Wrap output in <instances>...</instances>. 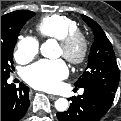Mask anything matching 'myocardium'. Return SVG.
I'll return each mask as SVG.
<instances>
[{"mask_svg": "<svg viewBox=\"0 0 121 121\" xmlns=\"http://www.w3.org/2000/svg\"><path fill=\"white\" fill-rule=\"evenodd\" d=\"M63 49V56L71 64L84 62L89 52V40L79 30L74 31L59 40Z\"/></svg>", "mask_w": 121, "mask_h": 121, "instance_id": "myocardium-1", "label": "myocardium"}]
</instances>
